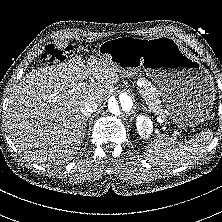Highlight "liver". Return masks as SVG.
<instances>
[{"label": "liver", "instance_id": "1", "mask_svg": "<svg viewBox=\"0 0 222 222\" xmlns=\"http://www.w3.org/2000/svg\"><path fill=\"white\" fill-rule=\"evenodd\" d=\"M118 69L91 57L36 69L15 86L6 110V125L17 149L45 167L73 159L85 135L81 113L87 100L98 105L119 80ZM92 76V83L84 80Z\"/></svg>", "mask_w": 222, "mask_h": 222}]
</instances>
